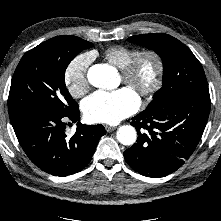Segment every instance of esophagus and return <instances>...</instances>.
Segmentation results:
<instances>
[{"instance_id": "esophagus-1", "label": "esophagus", "mask_w": 221, "mask_h": 221, "mask_svg": "<svg viewBox=\"0 0 221 221\" xmlns=\"http://www.w3.org/2000/svg\"><path fill=\"white\" fill-rule=\"evenodd\" d=\"M105 129H106L107 132H112L116 129V127L105 125Z\"/></svg>"}]
</instances>
